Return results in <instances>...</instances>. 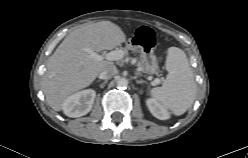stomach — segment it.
<instances>
[{
    "label": "stomach",
    "instance_id": "obj_1",
    "mask_svg": "<svg viewBox=\"0 0 248 158\" xmlns=\"http://www.w3.org/2000/svg\"><path fill=\"white\" fill-rule=\"evenodd\" d=\"M141 63L144 68V72L148 74H155L158 72V63L153 51L146 52L141 50Z\"/></svg>",
    "mask_w": 248,
    "mask_h": 158
}]
</instances>
